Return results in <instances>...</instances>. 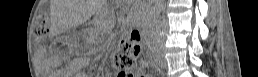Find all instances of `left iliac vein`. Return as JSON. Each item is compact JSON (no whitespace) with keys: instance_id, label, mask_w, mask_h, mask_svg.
I'll use <instances>...</instances> for the list:
<instances>
[{"instance_id":"4c4485c4","label":"left iliac vein","mask_w":258,"mask_h":77,"mask_svg":"<svg viewBox=\"0 0 258 77\" xmlns=\"http://www.w3.org/2000/svg\"><path fill=\"white\" fill-rule=\"evenodd\" d=\"M157 63L161 68L167 67V60L164 58L163 54L157 55Z\"/></svg>"}]
</instances>
